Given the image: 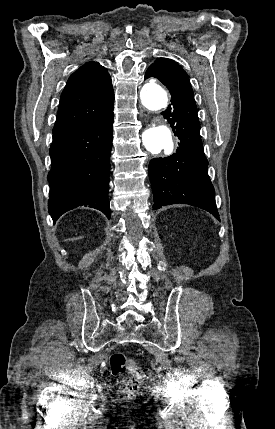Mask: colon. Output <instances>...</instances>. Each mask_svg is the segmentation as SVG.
<instances>
[{"mask_svg":"<svg viewBox=\"0 0 275 429\" xmlns=\"http://www.w3.org/2000/svg\"><path fill=\"white\" fill-rule=\"evenodd\" d=\"M109 366L111 373L121 378L123 382L119 391V399L124 402L133 400L140 386L146 381L145 371L135 360L121 352H116L110 356Z\"/></svg>","mask_w":275,"mask_h":429,"instance_id":"obj_1","label":"colon"}]
</instances>
